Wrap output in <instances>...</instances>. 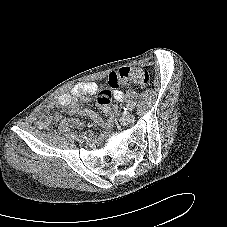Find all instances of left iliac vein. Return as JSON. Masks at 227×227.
Instances as JSON below:
<instances>
[{
	"label": "left iliac vein",
	"mask_w": 227,
	"mask_h": 227,
	"mask_svg": "<svg viewBox=\"0 0 227 227\" xmlns=\"http://www.w3.org/2000/svg\"><path fill=\"white\" fill-rule=\"evenodd\" d=\"M120 121L122 124L127 125L134 121V116L131 113H126L121 117Z\"/></svg>",
	"instance_id": "4c4485c4"
}]
</instances>
